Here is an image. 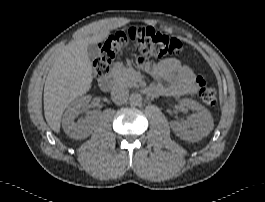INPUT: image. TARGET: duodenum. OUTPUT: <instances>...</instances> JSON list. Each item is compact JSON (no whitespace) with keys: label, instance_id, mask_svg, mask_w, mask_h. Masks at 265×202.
<instances>
[{"label":"duodenum","instance_id":"duodenum-1","mask_svg":"<svg viewBox=\"0 0 265 202\" xmlns=\"http://www.w3.org/2000/svg\"><path fill=\"white\" fill-rule=\"evenodd\" d=\"M98 86L100 87V89H102L104 91H110V90L114 89L115 77L111 74L102 77L98 82ZM141 91H142V93L149 95L154 90L152 87H142Z\"/></svg>","mask_w":265,"mask_h":202}]
</instances>
